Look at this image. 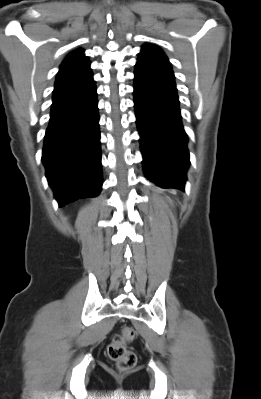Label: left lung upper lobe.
<instances>
[{
	"label": "left lung upper lobe",
	"instance_id": "obj_1",
	"mask_svg": "<svg viewBox=\"0 0 261 399\" xmlns=\"http://www.w3.org/2000/svg\"><path fill=\"white\" fill-rule=\"evenodd\" d=\"M137 63L156 65L171 70L167 57L155 46L144 45Z\"/></svg>",
	"mask_w": 261,
	"mask_h": 399
}]
</instances>
